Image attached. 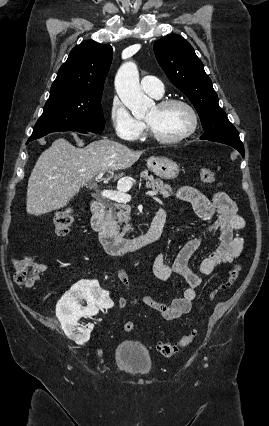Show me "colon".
I'll use <instances>...</instances> for the list:
<instances>
[{
	"mask_svg": "<svg viewBox=\"0 0 269 426\" xmlns=\"http://www.w3.org/2000/svg\"><path fill=\"white\" fill-rule=\"evenodd\" d=\"M200 178L208 185L216 184L215 175L208 167L203 166L200 168ZM74 221L75 216L72 209L67 208L57 211L53 217V229L55 235L66 236L70 232ZM12 266L14 269V280L16 283L24 286H31L37 283L40 279L41 271L43 270L42 266L29 255L15 257L12 260ZM239 274L240 266H233L228 272L225 282L221 284L218 289L210 292L208 296L209 299L214 298L218 290L232 286L239 278ZM123 328L126 332H132L134 331L135 326L133 322L127 321L124 323ZM196 334V330L192 329L175 343H159L157 349L163 356H173L181 348L189 346L195 340Z\"/></svg>",
	"mask_w": 269,
	"mask_h": 426,
	"instance_id": "1",
	"label": "colon"
}]
</instances>
